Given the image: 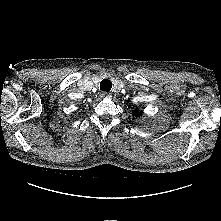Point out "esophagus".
I'll use <instances>...</instances> for the list:
<instances>
[{"instance_id": "esophagus-1", "label": "esophagus", "mask_w": 221, "mask_h": 221, "mask_svg": "<svg viewBox=\"0 0 221 221\" xmlns=\"http://www.w3.org/2000/svg\"><path fill=\"white\" fill-rule=\"evenodd\" d=\"M101 97H103V98H110L111 95L109 93H107V92H102L101 93Z\"/></svg>"}]
</instances>
